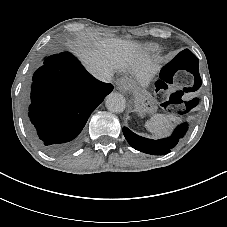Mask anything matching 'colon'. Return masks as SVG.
Wrapping results in <instances>:
<instances>
[{"instance_id": "obj_1", "label": "colon", "mask_w": 227, "mask_h": 227, "mask_svg": "<svg viewBox=\"0 0 227 227\" xmlns=\"http://www.w3.org/2000/svg\"><path fill=\"white\" fill-rule=\"evenodd\" d=\"M199 81L197 58L190 51H182L162 68L156 82L158 97L165 100L164 106L172 107L180 102L185 94L196 90ZM196 104V98L186 101L188 108Z\"/></svg>"}]
</instances>
